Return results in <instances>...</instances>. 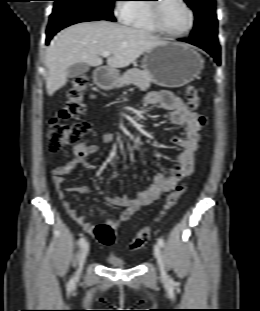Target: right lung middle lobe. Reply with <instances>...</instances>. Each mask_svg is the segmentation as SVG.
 Segmentation results:
<instances>
[{"label":"right lung middle lobe","instance_id":"1","mask_svg":"<svg viewBox=\"0 0 260 311\" xmlns=\"http://www.w3.org/2000/svg\"><path fill=\"white\" fill-rule=\"evenodd\" d=\"M55 5L50 17L63 14L96 17L116 21L112 8L116 0H54Z\"/></svg>","mask_w":260,"mask_h":311}]
</instances>
